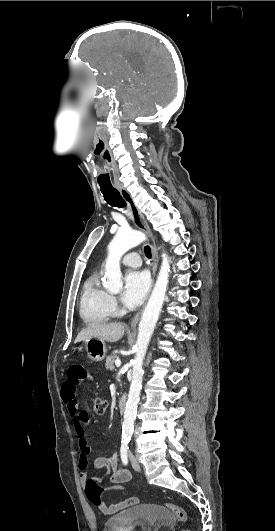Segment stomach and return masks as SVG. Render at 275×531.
Here are the masks:
<instances>
[{
    "label": "stomach",
    "instance_id": "1",
    "mask_svg": "<svg viewBox=\"0 0 275 531\" xmlns=\"http://www.w3.org/2000/svg\"><path fill=\"white\" fill-rule=\"evenodd\" d=\"M78 349L79 350H69V361H82V349H86L87 357H89L91 361H96V363H98V361H103V359H105L108 351L105 341H101V339H97V337L87 339V341H84L82 347H78Z\"/></svg>",
    "mask_w": 275,
    "mask_h": 531
}]
</instances>
